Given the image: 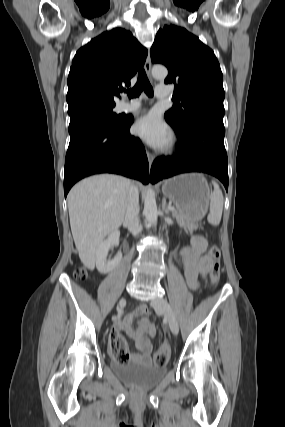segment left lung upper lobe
Masks as SVG:
<instances>
[{
	"label": "left lung upper lobe",
	"mask_w": 285,
	"mask_h": 427,
	"mask_svg": "<svg viewBox=\"0 0 285 427\" xmlns=\"http://www.w3.org/2000/svg\"><path fill=\"white\" fill-rule=\"evenodd\" d=\"M153 63L168 70L165 83H175L178 99L165 119L185 132L200 120L223 124V75L214 52L186 29L168 25L158 31L151 48Z\"/></svg>",
	"instance_id": "obj_1"
}]
</instances>
